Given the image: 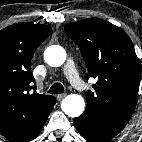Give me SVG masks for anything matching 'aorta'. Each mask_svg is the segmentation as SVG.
<instances>
[{"label": "aorta", "instance_id": "obj_1", "mask_svg": "<svg viewBox=\"0 0 142 142\" xmlns=\"http://www.w3.org/2000/svg\"><path fill=\"white\" fill-rule=\"evenodd\" d=\"M44 59L48 65L59 67L66 60V51L59 45L49 46L44 52ZM61 108L66 115L78 117L85 109L84 98L78 94H70L62 100Z\"/></svg>", "mask_w": 142, "mask_h": 142}]
</instances>
